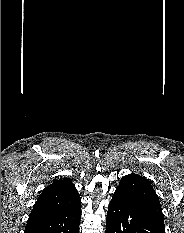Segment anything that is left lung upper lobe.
Segmentation results:
<instances>
[{
  "label": "left lung upper lobe",
  "mask_w": 184,
  "mask_h": 233,
  "mask_svg": "<svg viewBox=\"0 0 184 233\" xmlns=\"http://www.w3.org/2000/svg\"><path fill=\"white\" fill-rule=\"evenodd\" d=\"M114 194L123 195L140 207L159 230L165 231L159 198L147 179L137 174H128L121 179Z\"/></svg>",
  "instance_id": "5c2ea615"
}]
</instances>
